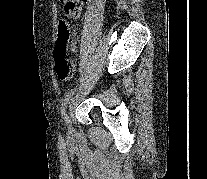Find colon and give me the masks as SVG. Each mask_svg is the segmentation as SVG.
<instances>
[{
  "instance_id": "obj_1",
  "label": "colon",
  "mask_w": 207,
  "mask_h": 179,
  "mask_svg": "<svg viewBox=\"0 0 207 179\" xmlns=\"http://www.w3.org/2000/svg\"><path fill=\"white\" fill-rule=\"evenodd\" d=\"M78 0H60L64 6L66 14L77 10ZM70 30L68 24L64 21L58 26V38L55 48L56 73L60 80L70 79L74 73V64L69 48Z\"/></svg>"
}]
</instances>
